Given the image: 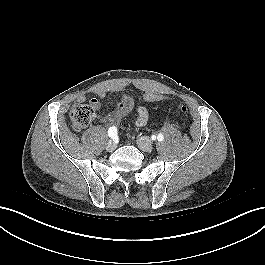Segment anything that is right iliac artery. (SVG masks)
Returning <instances> with one entry per match:
<instances>
[{"label":"right iliac artery","instance_id":"1","mask_svg":"<svg viewBox=\"0 0 265 265\" xmlns=\"http://www.w3.org/2000/svg\"><path fill=\"white\" fill-rule=\"evenodd\" d=\"M108 136L115 139L117 137V128L112 126L108 129Z\"/></svg>","mask_w":265,"mask_h":265}]
</instances>
